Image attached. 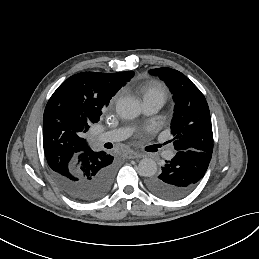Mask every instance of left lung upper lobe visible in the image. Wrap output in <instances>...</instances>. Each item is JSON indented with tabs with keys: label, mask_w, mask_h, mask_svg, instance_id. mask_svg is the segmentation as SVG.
Wrapping results in <instances>:
<instances>
[{
	"label": "left lung upper lobe",
	"mask_w": 259,
	"mask_h": 259,
	"mask_svg": "<svg viewBox=\"0 0 259 259\" xmlns=\"http://www.w3.org/2000/svg\"><path fill=\"white\" fill-rule=\"evenodd\" d=\"M170 88L175 102L171 133L176 150L212 154L213 132L209 107L201 91L181 72L171 68L149 70Z\"/></svg>",
	"instance_id": "1"
}]
</instances>
